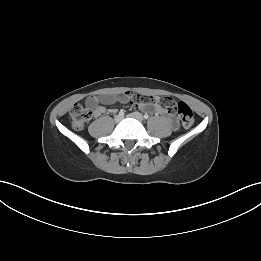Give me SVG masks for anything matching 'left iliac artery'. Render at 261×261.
I'll return each instance as SVG.
<instances>
[{"instance_id": "44dca946", "label": "left iliac artery", "mask_w": 261, "mask_h": 261, "mask_svg": "<svg viewBox=\"0 0 261 261\" xmlns=\"http://www.w3.org/2000/svg\"><path fill=\"white\" fill-rule=\"evenodd\" d=\"M144 118H145V119H148V118H149V115H148V114H145V115H144Z\"/></svg>"}]
</instances>
